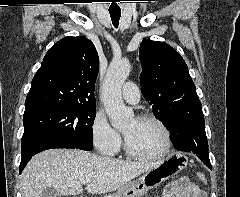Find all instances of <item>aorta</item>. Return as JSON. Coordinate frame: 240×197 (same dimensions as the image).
<instances>
[{
	"instance_id": "obj_1",
	"label": "aorta",
	"mask_w": 240,
	"mask_h": 197,
	"mask_svg": "<svg viewBox=\"0 0 240 197\" xmlns=\"http://www.w3.org/2000/svg\"><path fill=\"white\" fill-rule=\"evenodd\" d=\"M130 73V63L126 59L113 60L106 72L102 86V100L115 129L126 127L134 118L132 109L127 108L122 99V85Z\"/></svg>"
}]
</instances>
